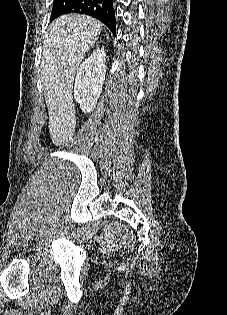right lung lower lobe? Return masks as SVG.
<instances>
[{
    "mask_svg": "<svg viewBox=\"0 0 227 315\" xmlns=\"http://www.w3.org/2000/svg\"><path fill=\"white\" fill-rule=\"evenodd\" d=\"M113 0H54L50 21L68 13L92 16L103 22L115 36V12Z\"/></svg>",
    "mask_w": 227,
    "mask_h": 315,
    "instance_id": "right-lung-lower-lobe-1",
    "label": "right lung lower lobe"
}]
</instances>
